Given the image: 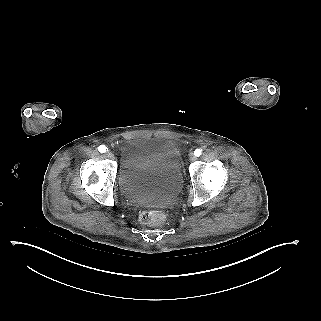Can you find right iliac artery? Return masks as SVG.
I'll return each instance as SVG.
<instances>
[{
    "mask_svg": "<svg viewBox=\"0 0 321 321\" xmlns=\"http://www.w3.org/2000/svg\"><path fill=\"white\" fill-rule=\"evenodd\" d=\"M98 150H99V152L104 153V152H106L107 147H105L104 145H101L98 147Z\"/></svg>",
    "mask_w": 321,
    "mask_h": 321,
    "instance_id": "right-iliac-artery-1",
    "label": "right iliac artery"
}]
</instances>
